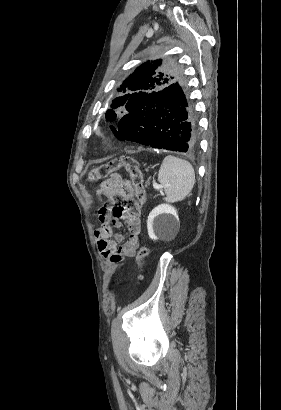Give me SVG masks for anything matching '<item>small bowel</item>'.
I'll return each instance as SVG.
<instances>
[{
	"instance_id": "obj_1",
	"label": "small bowel",
	"mask_w": 281,
	"mask_h": 410,
	"mask_svg": "<svg viewBox=\"0 0 281 410\" xmlns=\"http://www.w3.org/2000/svg\"><path fill=\"white\" fill-rule=\"evenodd\" d=\"M131 193L132 187L130 183L119 174L111 175L97 190V195L100 199H102V197L111 198L117 194L130 196ZM98 214L100 226L95 231V238L98 249L106 261L111 265H115L126 257H133L139 246V234L141 230L138 213H125L120 216H112L109 206L105 203L99 208ZM123 224L127 226L129 235L122 245L117 246V242L123 240V236L115 235V239H113V229L120 228Z\"/></svg>"
}]
</instances>
